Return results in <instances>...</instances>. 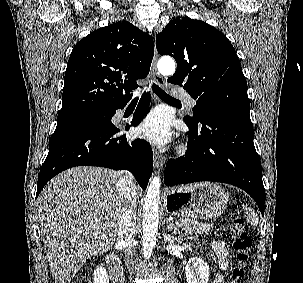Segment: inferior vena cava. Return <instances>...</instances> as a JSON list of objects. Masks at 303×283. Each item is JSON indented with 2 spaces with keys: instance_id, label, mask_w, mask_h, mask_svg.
<instances>
[{
  "instance_id": "1",
  "label": "inferior vena cava",
  "mask_w": 303,
  "mask_h": 283,
  "mask_svg": "<svg viewBox=\"0 0 303 283\" xmlns=\"http://www.w3.org/2000/svg\"><path fill=\"white\" fill-rule=\"evenodd\" d=\"M119 196L121 216L118 224V240L125 244L127 256H132V240L135 232L136 188L135 180L130 172H122L119 180Z\"/></svg>"
}]
</instances>
